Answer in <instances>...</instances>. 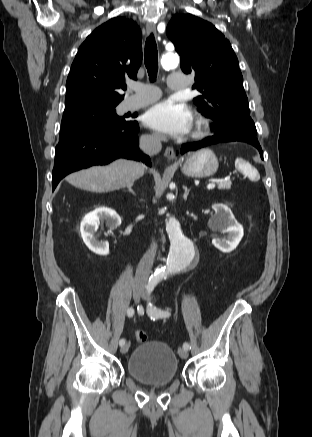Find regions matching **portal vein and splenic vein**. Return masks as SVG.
<instances>
[{
    "instance_id": "portal-vein-and-splenic-vein-1",
    "label": "portal vein and splenic vein",
    "mask_w": 312,
    "mask_h": 437,
    "mask_svg": "<svg viewBox=\"0 0 312 437\" xmlns=\"http://www.w3.org/2000/svg\"><path fill=\"white\" fill-rule=\"evenodd\" d=\"M214 187H215V182H212L207 186L208 189H213Z\"/></svg>"
}]
</instances>
